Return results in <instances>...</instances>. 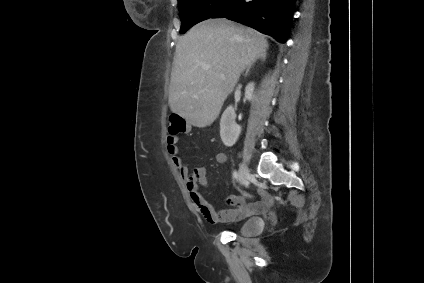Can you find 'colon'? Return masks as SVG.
<instances>
[{
    "label": "colon",
    "instance_id": "1",
    "mask_svg": "<svg viewBox=\"0 0 424 283\" xmlns=\"http://www.w3.org/2000/svg\"><path fill=\"white\" fill-rule=\"evenodd\" d=\"M187 129L185 119L178 114H171L168 117V132L171 135H178L184 133Z\"/></svg>",
    "mask_w": 424,
    "mask_h": 283
}]
</instances>
